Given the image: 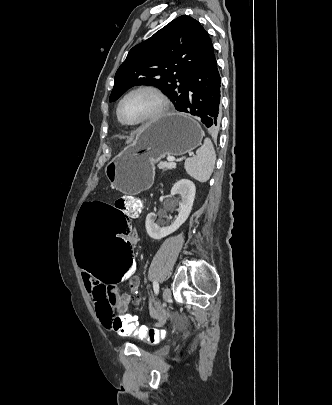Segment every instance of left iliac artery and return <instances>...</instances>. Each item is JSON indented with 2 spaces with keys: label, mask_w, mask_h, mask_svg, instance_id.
<instances>
[{
  "label": "left iliac artery",
  "mask_w": 332,
  "mask_h": 405,
  "mask_svg": "<svg viewBox=\"0 0 332 405\" xmlns=\"http://www.w3.org/2000/svg\"><path fill=\"white\" fill-rule=\"evenodd\" d=\"M153 289H154L155 294L157 295L159 293V284H158V281H156V280L153 282Z\"/></svg>",
  "instance_id": "obj_1"
}]
</instances>
